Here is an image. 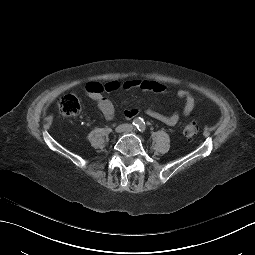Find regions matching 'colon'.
I'll return each mask as SVG.
<instances>
[{
	"label": "colon",
	"instance_id": "colon-1",
	"mask_svg": "<svg viewBox=\"0 0 255 255\" xmlns=\"http://www.w3.org/2000/svg\"><path fill=\"white\" fill-rule=\"evenodd\" d=\"M58 107L61 113L68 117L77 116L81 109V99L72 94L64 95L58 101ZM199 131V124L195 119L187 121L183 128V135L187 138L195 136Z\"/></svg>",
	"mask_w": 255,
	"mask_h": 255
}]
</instances>
